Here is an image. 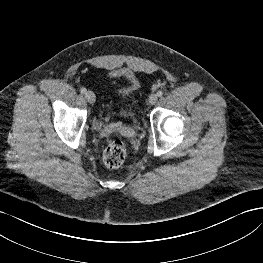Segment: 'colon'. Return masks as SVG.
<instances>
[{"mask_svg":"<svg viewBox=\"0 0 263 263\" xmlns=\"http://www.w3.org/2000/svg\"><path fill=\"white\" fill-rule=\"evenodd\" d=\"M126 146L121 140L109 143L103 153V162L109 168L121 166L126 159Z\"/></svg>","mask_w":263,"mask_h":263,"instance_id":"1","label":"colon"}]
</instances>
